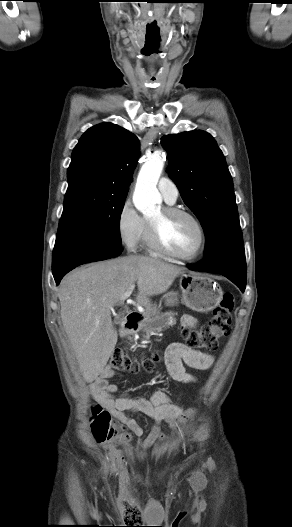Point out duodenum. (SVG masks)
I'll return each instance as SVG.
<instances>
[{
  "label": "duodenum",
  "instance_id": "obj_1",
  "mask_svg": "<svg viewBox=\"0 0 292 527\" xmlns=\"http://www.w3.org/2000/svg\"><path fill=\"white\" fill-rule=\"evenodd\" d=\"M140 315L136 312L129 313L121 325V334L128 335L138 328Z\"/></svg>",
  "mask_w": 292,
  "mask_h": 527
}]
</instances>
